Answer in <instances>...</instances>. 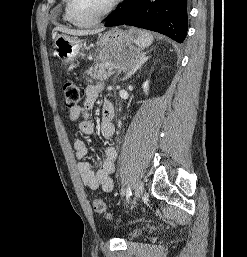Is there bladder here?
<instances>
[{"instance_id":"obj_1","label":"bladder","mask_w":247,"mask_h":257,"mask_svg":"<svg viewBox=\"0 0 247 257\" xmlns=\"http://www.w3.org/2000/svg\"><path fill=\"white\" fill-rule=\"evenodd\" d=\"M142 232H143L142 229L137 228V229L132 230V231L128 234V236H129V238H132V239H133V238H136V237L140 236V235L142 234Z\"/></svg>"}]
</instances>
